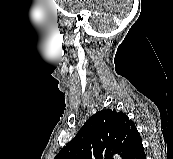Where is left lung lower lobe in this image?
Returning <instances> with one entry per match:
<instances>
[{
    "mask_svg": "<svg viewBox=\"0 0 173 159\" xmlns=\"http://www.w3.org/2000/svg\"><path fill=\"white\" fill-rule=\"evenodd\" d=\"M127 159H146L142 142L135 147V149L130 153Z\"/></svg>",
    "mask_w": 173,
    "mask_h": 159,
    "instance_id": "obj_1",
    "label": "left lung lower lobe"
}]
</instances>
